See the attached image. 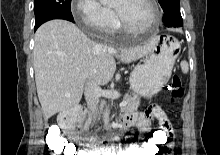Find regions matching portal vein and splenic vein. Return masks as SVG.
Masks as SVG:
<instances>
[{"label": "portal vein and splenic vein", "instance_id": "1", "mask_svg": "<svg viewBox=\"0 0 220 155\" xmlns=\"http://www.w3.org/2000/svg\"><path fill=\"white\" fill-rule=\"evenodd\" d=\"M65 96L69 97L70 94H65ZM126 104H127L126 101H122V102L119 104V107H124Z\"/></svg>", "mask_w": 220, "mask_h": 155}]
</instances>
